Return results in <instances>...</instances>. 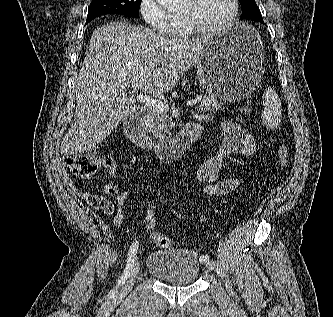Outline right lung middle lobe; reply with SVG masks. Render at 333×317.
Listing matches in <instances>:
<instances>
[{"mask_svg":"<svg viewBox=\"0 0 333 317\" xmlns=\"http://www.w3.org/2000/svg\"><path fill=\"white\" fill-rule=\"evenodd\" d=\"M142 0H92L87 21L103 14H122L130 17H139V6Z\"/></svg>","mask_w":333,"mask_h":317,"instance_id":"dd1d6c3e","label":"right lung middle lobe"}]
</instances>
